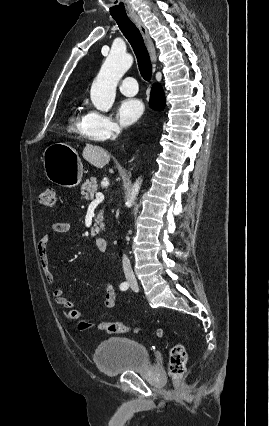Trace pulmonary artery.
Returning <instances> with one entry per match:
<instances>
[{
	"mask_svg": "<svg viewBox=\"0 0 269 426\" xmlns=\"http://www.w3.org/2000/svg\"><path fill=\"white\" fill-rule=\"evenodd\" d=\"M120 91L127 96H134L138 92V86L135 78L127 76L119 83Z\"/></svg>",
	"mask_w": 269,
	"mask_h": 426,
	"instance_id": "1",
	"label": "pulmonary artery"
}]
</instances>
